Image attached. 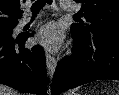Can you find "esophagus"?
<instances>
[{"label": "esophagus", "instance_id": "obj_1", "mask_svg": "<svg viewBox=\"0 0 119 95\" xmlns=\"http://www.w3.org/2000/svg\"><path fill=\"white\" fill-rule=\"evenodd\" d=\"M46 66H47L48 75L50 78H52L57 66V60L49 53H46Z\"/></svg>", "mask_w": 119, "mask_h": 95}]
</instances>
